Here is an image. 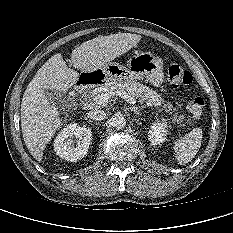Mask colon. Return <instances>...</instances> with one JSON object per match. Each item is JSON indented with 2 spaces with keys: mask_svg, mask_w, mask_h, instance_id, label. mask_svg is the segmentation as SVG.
<instances>
[{
  "mask_svg": "<svg viewBox=\"0 0 233 233\" xmlns=\"http://www.w3.org/2000/svg\"><path fill=\"white\" fill-rule=\"evenodd\" d=\"M167 77L173 87L189 85L192 82L191 73L184 67L172 63L167 67ZM205 105L201 94H195L187 104V110L193 117H200Z\"/></svg>",
  "mask_w": 233,
  "mask_h": 233,
  "instance_id": "colon-1",
  "label": "colon"
}]
</instances>
